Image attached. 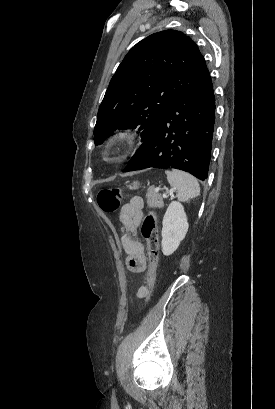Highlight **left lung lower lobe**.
<instances>
[{
    "label": "left lung lower lobe",
    "instance_id": "obj_1",
    "mask_svg": "<svg viewBox=\"0 0 275 409\" xmlns=\"http://www.w3.org/2000/svg\"><path fill=\"white\" fill-rule=\"evenodd\" d=\"M215 108L213 84L208 74L168 109L123 172L172 167L205 180L210 163Z\"/></svg>",
    "mask_w": 275,
    "mask_h": 409
}]
</instances>
